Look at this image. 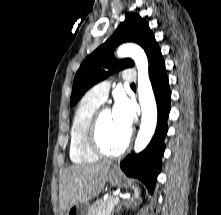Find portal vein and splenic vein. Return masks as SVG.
I'll list each match as a JSON object with an SVG mask.
<instances>
[{
    "instance_id": "1",
    "label": "portal vein and splenic vein",
    "mask_w": 221,
    "mask_h": 215,
    "mask_svg": "<svg viewBox=\"0 0 221 215\" xmlns=\"http://www.w3.org/2000/svg\"><path fill=\"white\" fill-rule=\"evenodd\" d=\"M119 198L118 197H116L115 199H114V204H117V203H119Z\"/></svg>"
}]
</instances>
